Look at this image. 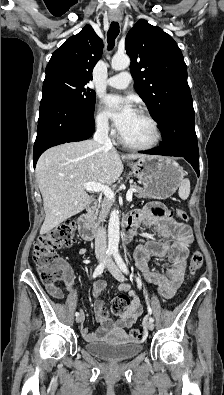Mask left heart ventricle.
I'll return each mask as SVG.
<instances>
[{
    "label": "left heart ventricle",
    "instance_id": "1",
    "mask_svg": "<svg viewBox=\"0 0 224 395\" xmlns=\"http://www.w3.org/2000/svg\"><path fill=\"white\" fill-rule=\"evenodd\" d=\"M120 133L127 141L134 144H147L154 136L151 124L137 112Z\"/></svg>",
    "mask_w": 224,
    "mask_h": 395
}]
</instances>
